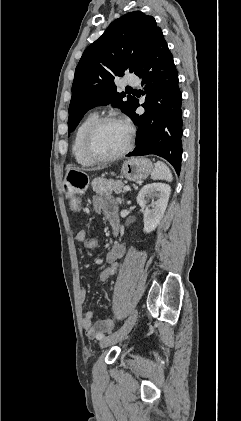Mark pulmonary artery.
Listing matches in <instances>:
<instances>
[{
	"mask_svg": "<svg viewBox=\"0 0 241 421\" xmlns=\"http://www.w3.org/2000/svg\"><path fill=\"white\" fill-rule=\"evenodd\" d=\"M125 83L130 86H137L139 85V79L135 76L129 77L125 80Z\"/></svg>",
	"mask_w": 241,
	"mask_h": 421,
	"instance_id": "pulmonary-artery-1",
	"label": "pulmonary artery"
}]
</instances>
